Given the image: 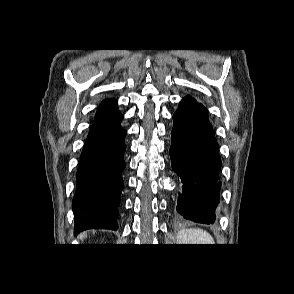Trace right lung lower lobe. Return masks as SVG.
<instances>
[{"label": "right lung lower lobe", "mask_w": 294, "mask_h": 294, "mask_svg": "<svg viewBox=\"0 0 294 294\" xmlns=\"http://www.w3.org/2000/svg\"><path fill=\"white\" fill-rule=\"evenodd\" d=\"M123 116L117 102H102L81 154L73 198L74 234L91 229L117 230L118 206L124 182Z\"/></svg>", "instance_id": "right-lung-lower-lobe-1"}]
</instances>
